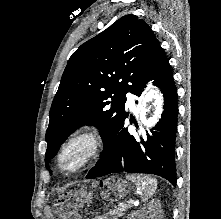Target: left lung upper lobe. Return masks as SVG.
Returning a JSON list of instances; mask_svg holds the SVG:
<instances>
[{
	"instance_id": "1",
	"label": "left lung upper lobe",
	"mask_w": 221,
	"mask_h": 219,
	"mask_svg": "<svg viewBox=\"0 0 221 219\" xmlns=\"http://www.w3.org/2000/svg\"><path fill=\"white\" fill-rule=\"evenodd\" d=\"M160 47L151 28L135 15L121 17L70 57L50 109L47 161L76 128L99 129L104 147L125 114Z\"/></svg>"
}]
</instances>
